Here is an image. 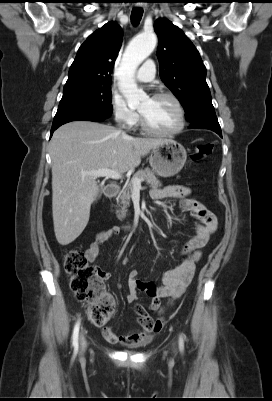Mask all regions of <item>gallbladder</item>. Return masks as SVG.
I'll return each mask as SVG.
<instances>
[{
	"mask_svg": "<svg viewBox=\"0 0 272 401\" xmlns=\"http://www.w3.org/2000/svg\"><path fill=\"white\" fill-rule=\"evenodd\" d=\"M100 196H101V192L98 193L96 198H100Z\"/></svg>",
	"mask_w": 272,
	"mask_h": 401,
	"instance_id": "gallbladder-1",
	"label": "gallbladder"
}]
</instances>
